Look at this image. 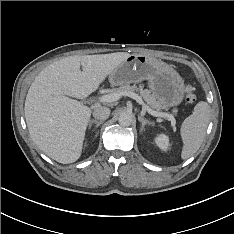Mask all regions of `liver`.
Wrapping results in <instances>:
<instances>
[{"mask_svg":"<svg viewBox=\"0 0 234 234\" xmlns=\"http://www.w3.org/2000/svg\"><path fill=\"white\" fill-rule=\"evenodd\" d=\"M129 56L127 52L70 56L38 74L28 90L24 112L29 134L42 152L62 164L80 158L91 112L97 106L87 107L70 97L83 99L95 92Z\"/></svg>","mask_w":234,"mask_h":234,"instance_id":"obj_1","label":"liver"}]
</instances>
